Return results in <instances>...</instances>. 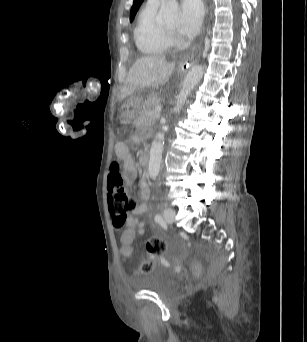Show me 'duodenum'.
<instances>
[{
	"instance_id": "410a0bca",
	"label": "duodenum",
	"mask_w": 307,
	"mask_h": 342,
	"mask_svg": "<svg viewBox=\"0 0 307 342\" xmlns=\"http://www.w3.org/2000/svg\"><path fill=\"white\" fill-rule=\"evenodd\" d=\"M149 161H150V159H149V155L148 154L142 155L140 157V162H141L142 166H147L149 164Z\"/></svg>"
}]
</instances>
